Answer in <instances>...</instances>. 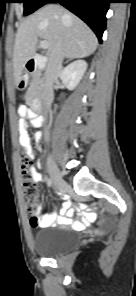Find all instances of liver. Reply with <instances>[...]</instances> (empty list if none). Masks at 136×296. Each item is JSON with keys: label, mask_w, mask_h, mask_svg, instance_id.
I'll return each instance as SVG.
<instances>
[{"label": "liver", "mask_w": 136, "mask_h": 296, "mask_svg": "<svg viewBox=\"0 0 136 296\" xmlns=\"http://www.w3.org/2000/svg\"><path fill=\"white\" fill-rule=\"evenodd\" d=\"M38 38L49 43V58L59 46L64 57L69 59L87 57L98 46L96 35L81 19L60 5H45L18 28L13 53L16 86L21 81L26 63L36 53Z\"/></svg>", "instance_id": "obj_1"}]
</instances>
